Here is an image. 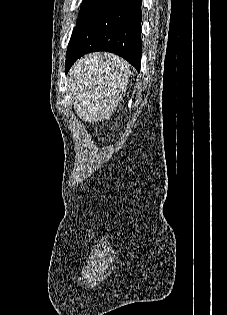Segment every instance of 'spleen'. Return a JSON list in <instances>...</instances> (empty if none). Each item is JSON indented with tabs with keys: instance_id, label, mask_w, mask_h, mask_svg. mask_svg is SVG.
I'll return each mask as SVG.
<instances>
[{
	"instance_id": "3e777b00",
	"label": "spleen",
	"mask_w": 227,
	"mask_h": 315,
	"mask_svg": "<svg viewBox=\"0 0 227 315\" xmlns=\"http://www.w3.org/2000/svg\"><path fill=\"white\" fill-rule=\"evenodd\" d=\"M129 75V64L114 55L79 60L69 79L79 117L87 122L107 118L122 99Z\"/></svg>"
}]
</instances>
